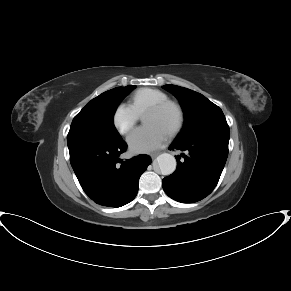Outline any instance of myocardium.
Segmentation results:
<instances>
[{
  "mask_svg": "<svg viewBox=\"0 0 291 291\" xmlns=\"http://www.w3.org/2000/svg\"><path fill=\"white\" fill-rule=\"evenodd\" d=\"M167 109H171L174 113V122L169 130L170 134H175L180 130L184 122V113L181 106L172 100H164L155 104L148 106L144 113L146 112H163ZM143 113V114H144Z\"/></svg>",
  "mask_w": 291,
  "mask_h": 291,
  "instance_id": "f54148a6",
  "label": "myocardium"
}]
</instances>
